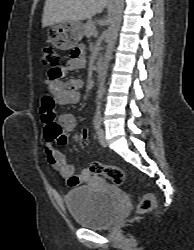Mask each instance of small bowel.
Here are the masks:
<instances>
[{"mask_svg": "<svg viewBox=\"0 0 194 250\" xmlns=\"http://www.w3.org/2000/svg\"><path fill=\"white\" fill-rule=\"evenodd\" d=\"M83 52L84 48L82 46L77 48L75 56H72L68 64L60 69L61 73L83 68L85 65ZM46 85L54 104L65 105L77 103L79 101L83 82L79 79H72L63 83L62 81L50 77ZM41 119L44 124V152L48 163L60 174L69 187H76L89 181L91 178L89 170L84 169L80 174H75L74 165L69 163L65 156L54 146L56 141L61 144L67 141L68 134L71 133L76 126L75 116L71 113L57 115L54 109H43ZM79 140H85L88 144V135L82 132Z\"/></svg>", "mask_w": 194, "mask_h": 250, "instance_id": "c3829d8e", "label": "small bowel"}]
</instances>
